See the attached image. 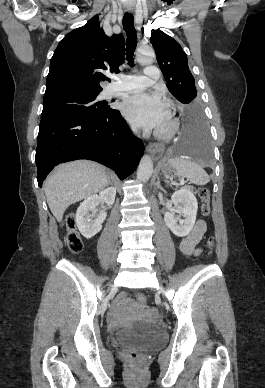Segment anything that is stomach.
Masks as SVG:
<instances>
[{
    "label": "stomach",
    "mask_w": 265,
    "mask_h": 388,
    "mask_svg": "<svg viewBox=\"0 0 265 388\" xmlns=\"http://www.w3.org/2000/svg\"><path fill=\"white\" fill-rule=\"evenodd\" d=\"M162 172L164 174H166V176L170 175L171 172H172V166L171 165H168V164H165V163H162L161 166H160Z\"/></svg>",
    "instance_id": "1"
}]
</instances>
